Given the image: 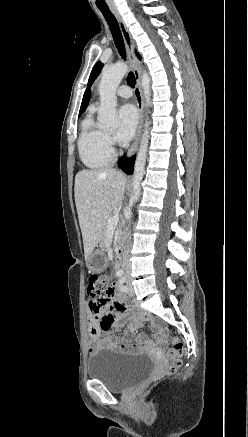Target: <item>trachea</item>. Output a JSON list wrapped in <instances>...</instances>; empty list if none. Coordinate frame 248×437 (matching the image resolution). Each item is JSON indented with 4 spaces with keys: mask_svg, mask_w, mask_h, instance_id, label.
<instances>
[{
    "mask_svg": "<svg viewBox=\"0 0 248 437\" xmlns=\"http://www.w3.org/2000/svg\"><path fill=\"white\" fill-rule=\"evenodd\" d=\"M99 10L102 12L114 39L116 48L118 49L119 54L123 59L126 58L125 45L123 41V37L118 26L117 20L114 15L110 12L109 8H100ZM135 75L133 72H129L127 77L128 84L133 88L135 86Z\"/></svg>",
    "mask_w": 248,
    "mask_h": 437,
    "instance_id": "trachea-1",
    "label": "trachea"
}]
</instances>
